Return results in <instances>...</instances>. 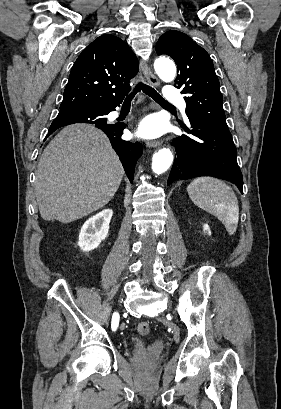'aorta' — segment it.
Returning <instances> with one entry per match:
<instances>
[{"label": "aorta", "mask_w": 281, "mask_h": 409, "mask_svg": "<svg viewBox=\"0 0 281 409\" xmlns=\"http://www.w3.org/2000/svg\"><path fill=\"white\" fill-rule=\"evenodd\" d=\"M154 69L157 75L165 82H171L176 76V67L168 58L156 59ZM173 154L170 149L163 148L153 155L152 170L156 174H162L171 166Z\"/></svg>", "instance_id": "aorta-1"}]
</instances>
